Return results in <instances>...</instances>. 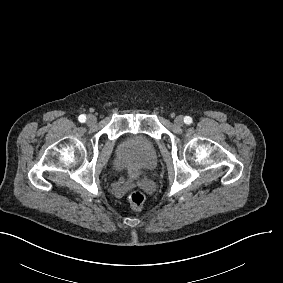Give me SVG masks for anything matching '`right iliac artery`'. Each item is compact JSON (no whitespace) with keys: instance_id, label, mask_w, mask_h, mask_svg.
<instances>
[{"instance_id":"1","label":"right iliac artery","mask_w":283,"mask_h":283,"mask_svg":"<svg viewBox=\"0 0 283 283\" xmlns=\"http://www.w3.org/2000/svg\"><path fill=\"white\" fill-rule=\"evenodd\" d=\"M78 120H79L81 123H83V122L86 121V116H85L84 114H82V115H80V116L78 117Z\"/></svg>"}]
</instances>
